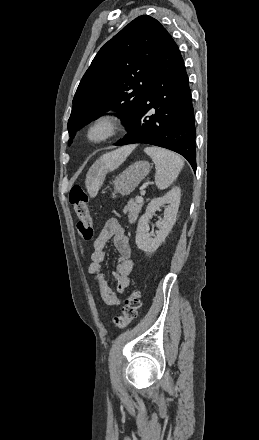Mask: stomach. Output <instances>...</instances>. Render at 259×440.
<instances>
[{"label": "stomach", "instance_id": "obj_1", "mask_svg": "<svg viewBox=\"0 0 259 440\" xmlns=\"http://www.w3.org/2000/svg\"><path fill=\"white\" fill-rule=\"evenodd\" d=\"M150 171V164L147 161H137L120 173L114 180V192L112 197L116 194L122 196L132 193L139 183L148 175ZM92 172L88 175L86 185L88 188H93Z\"/></svg>", "mask_w": 259, "mask_h": 440}]
</instances>
